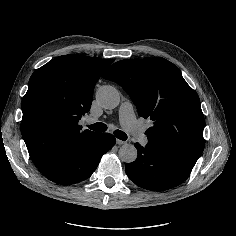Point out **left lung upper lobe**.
Listing matches in <instances>:
<instances>
[{"label": "left lung upper lobe", "instance_id": "5c2ea615", "mask_svg": "<svg viewBox=\"0 0 236 236\" xmlns=\"http://www.w3.org/2000/svg\"><path fill=\"white\" fill-rule=\"evenodd\" d=\"M124 88L143 118L153 121L148 143L196 163L204 150V115L197 93L179 69L161 58L125 59L102 75Z\"/></svg>", "mask_w": 236, "mask_h": 236}]
</instances>
